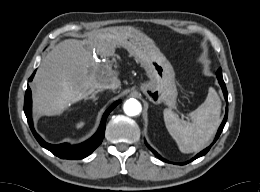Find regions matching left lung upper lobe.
<instances>
[{
	"mask_svg": "<svg viewBox=\"0 0 260 192\" xmlns=\"http://www.w3.org/2000/svg\"><path fill=\"white\" fill-rule=\"evenodd\" d=\"M217 77H222V70L219 68L216 72Z\"/></svg>",
	"mask_w": 260,
	"mask_h": 192,
	"instance_id": "1",
	"label": "left lung upper lobe"
}]
</instances>
